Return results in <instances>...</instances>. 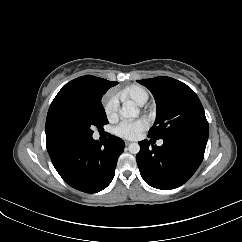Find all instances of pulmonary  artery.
<instances>
[{
	"instance_id": "pulmonary-artery-1",
	"label": "pulmonary artery",
	"mask_w": 242,
	"mask_h": 242,
	"mask_svg": "<svg viewBox=\"0 0 242 242\" xmlns=\"http://www.w3.org/2000/svg\"><path fill=\"white\" fill-rule=\"evenodd\" d=\"M157 144L161 146L163 144V140H159Z\"/></svg>"
}]
</instances>
